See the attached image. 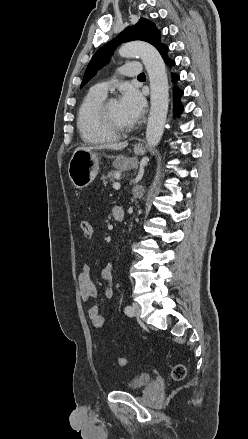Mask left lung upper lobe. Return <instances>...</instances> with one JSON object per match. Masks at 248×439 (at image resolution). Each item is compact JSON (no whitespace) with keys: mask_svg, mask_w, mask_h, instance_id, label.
Returning <instances> with one entry per match:
<instances>
[{"mask_svg":"<svg viewBox=\"0 0 248 439\" xmlns=\"http://www.w3.org/2000/svg\"><path fill=\"white\" fill-rule=\"evenodd\" d=\"M132 40L148 42L156 47L158 51L165 46L160 42V32L156 29L155 25L151 21L141 18L137 24L122 31L115 39L102 46L94 54L85 71L81 87L97 73L98 69L108 62L109 56L116 46Z\"/></svg>","mask_w":248,"mask_h":439,"instance_id":"5c2ea615","label":"left lung upper lobe"}]
</instances>
